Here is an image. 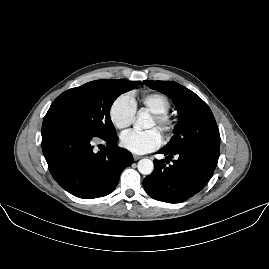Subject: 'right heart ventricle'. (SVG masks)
Returning <instances> with one entry per match:
<instances>
[{"mask_svg":"<svg viewBox=\"0 0 269 269\" xmlns=\"http://www.w3.org/2000/svg\"><path fill=\"white\" fill-rule=\"evenodd\" d=\"M138 103L141 106V111L144 110L152 114L168 112L171 108L169 98L162 93L144 95L138 99Z\"/></svg>","mask_w":269,"mask_h":269,"instance_id":"1","label":"right heart ventricle"}]
</instances>
